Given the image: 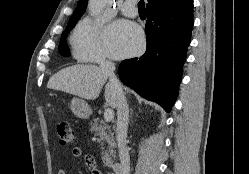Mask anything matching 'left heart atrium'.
Segmentation results:
<instances>
[{
  "mask_svg": "<svg viewBox=\"0 0 249 174\" xmlns=\"http://www.w3.org/2000/svg\"><path fill=\"white\" fill-rule=\"evenodd\" d=\"M105 44L113 58L135 55L142 49L143 34L137 25L126 20H118L108 27Z\"/></svg>",
  "mask_w": 249,
  "mask_h": 174,
  "instance_id": "obj_1",
  "label": "left heart atrium"
}]
</instances>
